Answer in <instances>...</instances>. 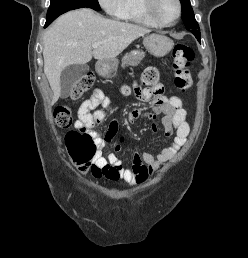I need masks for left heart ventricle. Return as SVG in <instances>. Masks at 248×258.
I'll return each mask as SVG.
<instances>
[{
	"label": "left heart ventricle",
	"mask_w": 248,
	"mask_h": 258,
	"mask_svg": "<svg viewBox=\"0 0 248 258\" xmlns=\"http://www.w3.org/2000/svg\"><path fill=\"white\" fill-rule=\"evenodd\" d=\"M154 12L161 21H173L177 14L175 0H155Z\"/></svg>",
	"instance_id": "b2bd125f"
}]
</instances>
